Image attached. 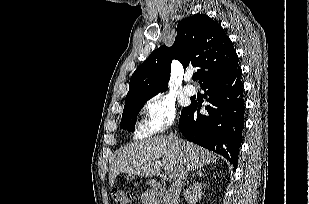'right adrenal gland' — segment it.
I'll return each instance as SVG.
<instances>
[{
    "instance_id": "obj_1",
    "label": "right adrenal gland",
    "mask_w": 309,
    "mask_h": 204,
    "mask_svg": "<svg viewBox=\"0 0 309 204\" xmlns=\"http://www.w3.org/2000/svg\"><path fill=\"white\" fill-rule=\"evenodd\" d=\"M195 175H198V176H202V171H201V169H197V171L195 172V173H193L192 174V177H194ZM187 184H188V182H187Z\"/></svg>"
}]
</instances>
